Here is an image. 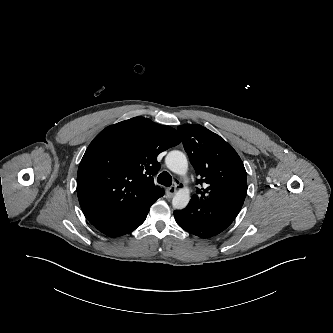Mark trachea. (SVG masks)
Segmentation results:
<instances>
[{
	"label": "trachea",
	"instance_id": "obj_1",
	"mask_svg": "<svg viewBox=\"0 0 333 333\" xmlns=\"http://www.w3.org/2000/svg\"><path fill=\"white\" fill-rule=\"evenodd\" d=\"M157 182L161 185L169 187L172 185V177L168 172L163 171L161 174H159Z\"/></svg>",
	"mask_w": 333,
	"mask_h": 333
}]
</instances>
